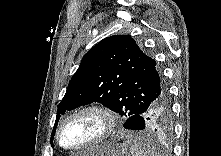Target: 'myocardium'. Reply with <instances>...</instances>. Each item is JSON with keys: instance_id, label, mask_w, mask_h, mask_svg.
<instances>
[{"instance_id": "obj_1", "label": "myocardium", "mask_w": 221, "mask_h": 156, "mask_svg": "<svg viewBox=\"0 0 221 156\" xmlns=\"http://www.w3.org/2000/svg\"><path fill=\"white\" fill-rule=\"evenodd\" d=\"M82 114H95L97 115L103 122V128L100 134L91 140L90 142L75 147H67L62 143L61 133L65 126V124L71 120L72 118L82 115ZM117 119L114 112L107 106L101 104H89L77 108L76 110L69 113L59 124L57 129L56 139L59 146L67 151H81L93 146H96L104 141H106L113 133L116 128Z\"/></svg>"}]
</instances>
